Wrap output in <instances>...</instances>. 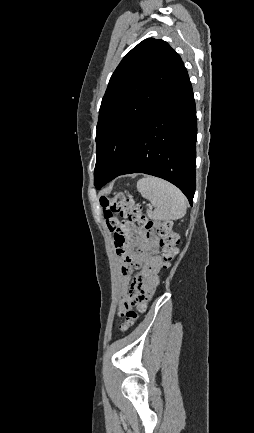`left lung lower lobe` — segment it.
<instances>
[{
    "mask_svg": "<svg viewBox=\"0 0 254 433\" xmlns=\"http://www.w3.org/2000/svg\"><path fill=\"white\" fill-rule=\"evenodd\" d=\"M196 136L195 100L183 66L142 126L124 161L102 185L119 175L145 173L176 185L192 205L196 188Z\"/></svg>",
    "mask_w": 254,
    "mask_h": 433,
    "instance_id": "left-lung-lower-lobe-1",
    "label": "left lung lower lobe"
}]
</instances>
